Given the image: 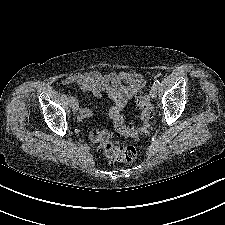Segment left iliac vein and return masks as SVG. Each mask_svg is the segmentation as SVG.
<instances>
[{
  "label": "left iliac vein",
  "instance_id": "obj_1",
  "mask_svg": "<svg viewBox=\"0 0 225 225\" xmlns=\"http://www.w3.org/2000/svg\"><path fill=\"white\" fill-rule=\"evenodd\" d=\"M150 96L153 98V99H155L156 98V96H157V88L156 87H151V89H150Z\"/></svg>",
  "mask_w": 225,
  "mask_h": 225
}]
</instances>
